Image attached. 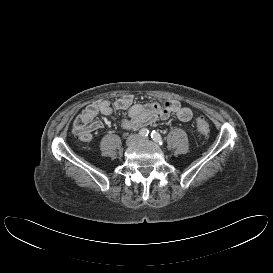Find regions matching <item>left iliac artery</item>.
Wrapping results in <instances>:
<instances>
[{
  "label": "left iliac artery",
  "mask_w": 273,
  "mask_h": 273,
  "mask_svg": "<svg viewBox=\"0 0 273 273\" xmlns=\"http://www.w3.org/2000/svg\"><path fill=\"white\" fill-rule=\"evenodd\" d=\"M151 138H152L157 144H159V145H162V144H163V140H162L161 135H160L158 132H156L155 130L152 131V133H151Z\"/></svg>",
  "instance_id": "left-iliac-artery-1"
}]
</instances>
